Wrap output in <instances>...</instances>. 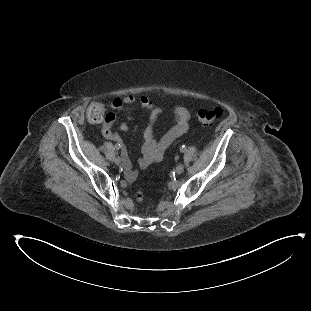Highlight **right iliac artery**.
I'll use <instances>...</instances> for the list:
<instances>
[{
	"instance_id": "right-iliac-artery-1",
	"label": "right iliac artery",
	"mask_w": 311,
	"mask_h": 311,
	"mask_svg": "<svg viewBox=\"0 0 311 311\" xmlns=\"http://www.w3.org/2000/svg\"><path fill=\"white\" fill-rule=\"evenodd\" d=\"M121 147H122V146H121L120 143L115 144V149L119 150Z\"/></svg>"
}]
</instances>
